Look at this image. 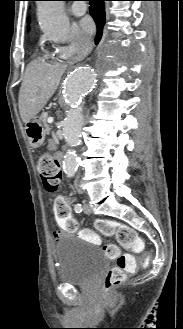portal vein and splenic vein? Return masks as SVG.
I'll list each match as a JSON object with an SVG mask.
<instances>
[{"mask_svg": "<svg viewBox=\"0 0 183 329\" xmlns=\"http://www.w3.org/2000/svg\"><path fill=\"white\" fill-rule=\"evenodd\" d=\"M47 121H48V123H52L54 121V118L53 117H49Z\"/></svg>", "mask_w": 183, "mask_h": 329, "instance_id": "portal-vein-and-splenic-vein-1", "label": "portal vein and splenic vein"}]
</instances>
